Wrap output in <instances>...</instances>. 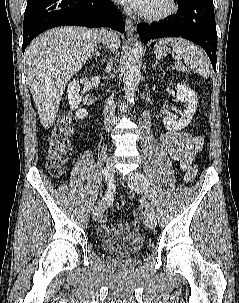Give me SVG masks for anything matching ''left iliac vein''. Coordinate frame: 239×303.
I'll return each mask as SVG.
<instances>
[{"label": "left iliac vein", "mask_w": 239, "mask_h": 303, "mask_svg": "<svg viewBox=\"0 0 239 303\" xmlns=\"http://www.w3.org/2000/svg\"><path fill=\"white\" fill-rule=\"evenodd\" d=\"M127 183L136 193L140 194L142 192V186L137 172H131L128 175ZM144 224L149 230H153L156 227V218L149 204L146 205Z\"/></svg>", "instance_id": "1"}]
</instances>
